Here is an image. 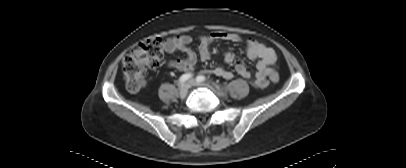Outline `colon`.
Masks as SVG:
<instances>
[{"mask_svg": "<svg viewBox=\"0 0 406 168\" xmlns=\"http://www.w3.org/2000/svg\"><path fill=\"white\" fill-rule=\"evenodd\" d=\"M164 55V42L159 37H151L132 49L123 59L122 71L126 89L131 93L140 91L146 83L148 68L161 64ZM271 82H279V74L271 69Z\"/></svg>", "mask_w": 406, "mask_h": 168, "instance_id": "1", "label": "colon"}]
</instances>
